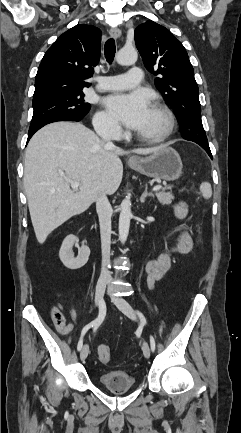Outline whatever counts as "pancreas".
<instances>
[{
  "label": "pancreas",
  "mask_w": 241,
  "mask_h": 433,
  "mask_svg": "<svg viewBox=\"0 0 241 433\" xmlns=\"http://www.w3.org/2000/svg\"><path fill=\"white\" fill-rule=\"evenodd\" d=\"M156 197L162 205H171L174 196L170 192H157Z\"/></svg>",
  "instance_id": "1"
}]
</instances>
